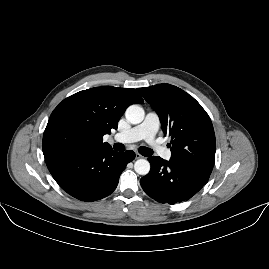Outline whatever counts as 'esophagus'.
Returning a JSON list of instances; mask_svg holds the SVG:
<instances>
[{
	"instance_id": "34e87169",
	"label": "esophagus",
	"mask_w": 269,
	"mask_h": 269,
	"mask_svg": "<svg viewBox=\"0 0 269 269\" xmlns=\"http://www.w3.org/2000/svg\"><path fill=\"white\" fill-rule=\"evenodd\" d=\"M135 157H136V159H139V158H142L143 156L136 152Z\"/></svg>"
}]
</instances>
